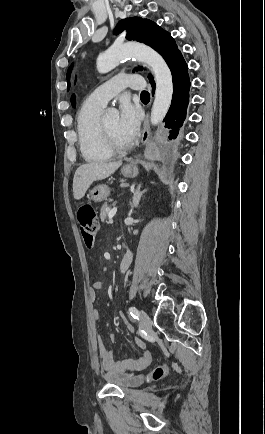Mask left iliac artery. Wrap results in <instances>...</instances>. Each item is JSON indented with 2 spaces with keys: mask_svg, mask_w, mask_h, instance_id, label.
Segmentation results:
<instances>
[{
  "mask_svg": "<svg viewBox=\"0 0 265 434\" xmlns=\"http://www.w3.org/2000/svg\"><path fill=\"white\" fill-rule=\"evenodd\" d=\"M129 312H130V315H131L134 319H138V317H139V312H138V310H137L136 307H134V306L130 307V308H129Z\"/></svg>",
  "mask_w": 265,
  "mask_h": 434,
  "instance_id": "left-iliac-artery-1",
  "label": "left iliac artery"
}]
</instances>
